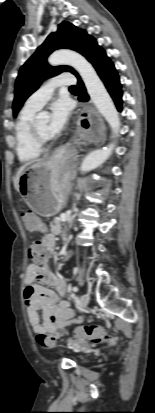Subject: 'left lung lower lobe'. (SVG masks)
Here are the masks:
<instances>
[{
	"mask_svg": "<svg viewBox=\"0 0 155 413\" xmlns=\"http://www.w3.org/2000/svg\"><path fill=\"white\" fill-rule=\"evenodd\" d=\"M96 69L98 75L105 84L108 92L113 98L115 105L119 111L122 110V90L119 76L112 61L107 57L102 49L91 62ZM78 86L80 90L79 101L87 102L89 96L80 77L78 76Z\"/></svg>",
	"mask_w": 155,
	"mask_h": 413,
	"instance_id": "obj_1",
	"label": "left lung lower lobe"
}]
</instances>
